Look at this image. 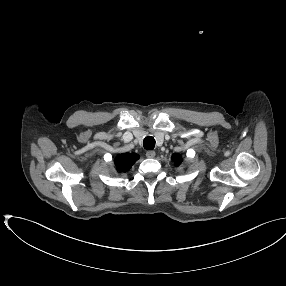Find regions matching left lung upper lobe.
I'll return each mask as SVG.
<instances>
[{
	"label": "left lung upper lobe",
	"instance_id": "left-lung-upper-lobe-1",
	"mask_svg": "<svg viewBox=\"0 0 286 286\" xmlns=\"http://www.w3.org/2000/svg\"><path fill=\"white\" fill-rule=\"evenodd\" d=\"M172 160L174 161L175 165L178 166L181 164L182 160H181V156L179 154H174L172 156Z\"/></svg>",
	"mask_w": 286,
	"mask_h": 286
}]
</instances>
